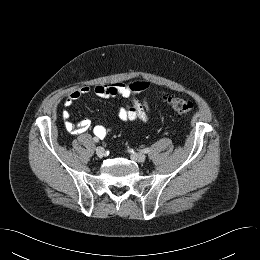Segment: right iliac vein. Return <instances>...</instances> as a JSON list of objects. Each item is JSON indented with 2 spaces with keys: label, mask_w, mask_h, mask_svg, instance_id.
<instances>
[{
  "label": "right iliac vein",
  "mask_w": 260,
  "mask_h": 260,
  "mask_svg": "<svg viewBox=\"0 0 260 260\" xmlns=\"http://www.w3.org/2000/svg\"><path fill=\"white\" fill-rule=\"evenodd\" d=\"M96 154H97V156H98L99 158H103V157L105 156V150H104V148L101 147V146H98V147L96 148Z\"/></svg>",
  "instance_id": "1"
}]
</instances>
